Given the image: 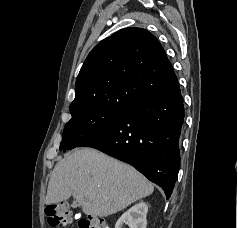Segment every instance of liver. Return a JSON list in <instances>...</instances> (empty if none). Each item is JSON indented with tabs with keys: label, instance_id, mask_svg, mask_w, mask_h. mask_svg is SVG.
I'll use <instances>...</instances> for the list:
<instances>
[{
	"label": "liver",
	"instance_id": "1",
	"mask_svg": "<svg viewBox=\"0 0 238 228\" xmlns=\"http://www.w3.org/2000/svg\"><path fill=\"white\" fill-rule=\"evenodd\" d=\"M153 190V184L130 165L95 149L81 148L55 165L45 203H59L72 195L86 215L106 217Z\"/></svg>",
	"mask_w": 238,
	"mask_h": 228
}]
</instances>
